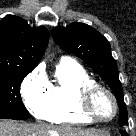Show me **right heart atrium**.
Returning <instances> with one entry per match:
<instances>
[{"label": "right heart atrium", "mask_w": 136, "mask_h": 136, "mask_svg": "<svg viewBox=\"0 0 136 136\" xmlns=\"http://www.w3.org/2000/svg\"><path fill=\"white\" fill-rule=\"evenodd\" d=\"M21 96L26 108L37 118H43L51 102L50 83L40 70L31 72L22 82Z\"/></svg>", "instance_id": "1"}]
</instances>
